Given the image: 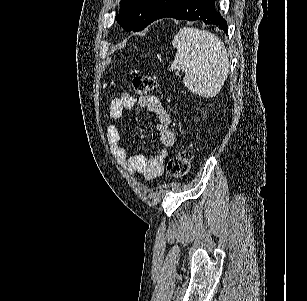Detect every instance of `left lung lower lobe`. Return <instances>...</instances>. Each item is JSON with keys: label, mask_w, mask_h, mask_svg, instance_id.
I'll list each match as a JSON object with an SVG mask.
<instances>
[{"label": "left lung lower lobe", "mask_w": 307, "mask_h": 301, "mask_svg": "<svg viewBox=\"0 0 307 301\" xmlns=\"http://www.w3.org/2000/svg\"><path fill=\"white\" fill-rule=\"evenodd\" d=\"M214 4L215 0H177L157 19L172 17L179 20H202L205 24H214L227 33V22L215 10Z\"/></svg>", "instance_id": "1"}]
</instances>
